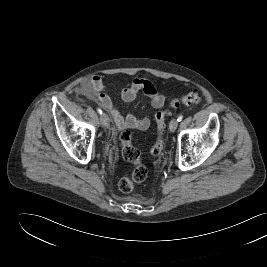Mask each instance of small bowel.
I'll return each mask as SVG.
<instances>
[{
    "mask_svg": "<svg viewBox=\"0 0 267 267\" xmlns=\"http://www.w3.org/2000/svg\"><path fill=\"white\" fill-rule=\"evenodd\" d=\"M105 90L106 84L99 76H93L81 84L82 93L95 99L104 109L109 111L119 130L126 128L146 130L149 128L151 121L148 117L138 118L132 114L123 115L113 99L105 93ZM140 92L149 98L154 109L161 108L165 103V97L159 89L151 81L143 78H135L127 87L123 88L121 98L125 103H131Z\"/></svg>",
    "mask_w": 267,
    "mask_h": 267,
    "instance_id": "small-bowel-1",
    "label": "small bowel"
}]
</instances>
